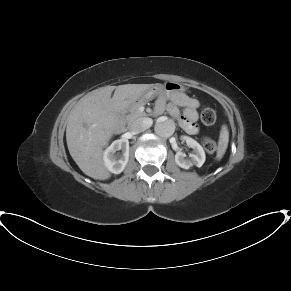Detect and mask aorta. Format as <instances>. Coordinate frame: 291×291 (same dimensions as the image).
Segmentation results:
<instances>
[{"label": "aorta", "instance_id": "aorta-1", "mask_svg": "<svg viewBox=\"0 0 291 291\" xmlns=\"http://www.w3.org/2000/svg\"><path fill=\"white\" fill-rule=\"evenodd\" d=\"M154 131L158 136L168 138L172 136L175 131V123L171 119L161 117L157 120Z\"/></svg>", "mask_w": 291, "mask_h": 291}]
</instances>
